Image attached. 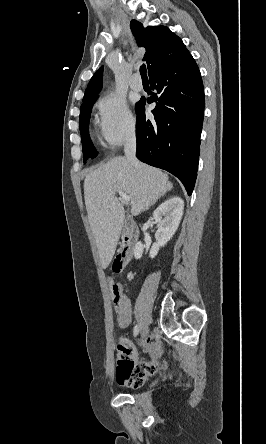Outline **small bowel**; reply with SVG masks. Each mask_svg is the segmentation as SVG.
<instances>
[{"label": "small bowel", "instance_id": "obj_1", "mask_svg": "<svg viewBox=\"0 0 266 444\" xmlns=\"http://www.w3.org/2000/svg\"><path fill=\"white\" fill-rule=\"evenodd\" d=\"M114 309L120 327H129L131 323V304L127 296H124L122 304ZM145 346L150 354H154L157 350V345L152 340H146ZM160 367V363L156 360L151 362L140 360L129 339L121 338L117 347L116 367V380L119 385L138 388L149 375Z\"/></svg>", "mask_w": 266, "mask_h": 444}]
</instances>
